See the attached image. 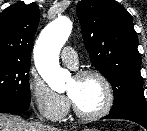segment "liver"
Masks as SVG:
<instances>
[{
	"mask_svg": "<svg viewBox=\"0 0 147 131\" xmlns=\"http://www.w3.org/2000/svg\"><path fill=\"white\" fill-rule=\"evenodd\" d=\"M0 131H60L38 122H26L20 116L0 114Z\"/></svg>",
	"mask_w": 147,
	"mask_h": 131,
	"instance_id": "6515ba94",
	"label": "liver"
}]
</instances>
